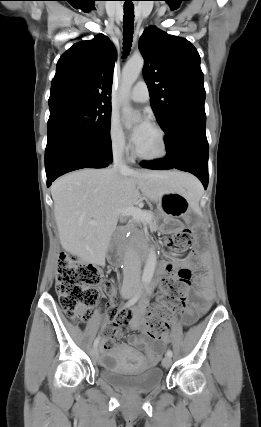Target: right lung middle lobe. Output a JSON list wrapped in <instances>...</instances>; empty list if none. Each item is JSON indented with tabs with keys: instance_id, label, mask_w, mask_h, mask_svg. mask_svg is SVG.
I'll use <instances>...</instances> for the list:
<instances>
[{
	"instance_id": "dd1d6c3e",
	"label": "right lung middle lobe",
	"mask_w": 261,
	"mask_h": 427,
	"mask_svg": "<svg viewBox=\"0 0 261 427\" xmlns=\"http://www.w3.org/2000/svg\"><path fill=\"white\" fill-rule=\"evenodd\" d=\"M111 106L67 104L50 109L48 140L72 136L87 140L110 139Z\"/></svg>"
}]
</instances>
